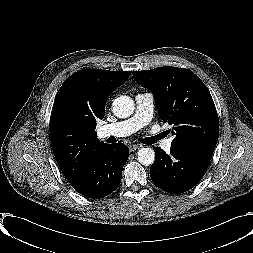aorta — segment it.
<instances>
[{
  "label": "aorta",
  "mask_w": 253,
  "mask_h": 253,
  "mask_svg": "<svg viewBox=\"0 0 253 253\" xmlns=\"http://www.w3.org/2000/svg\"><path fill=\"white\" fill-rule=\"evenodd\" d=\"M112 107L114 115L119 118L130 117L133 114L135 108L133 99L129 96L124 95L117 97L113 101ZM137 155L138 161L145 166L151 165L155 161V152L152 148H140L137 152Z\"/></svg>",
  "instance_id": "1"
}]
</instances>
